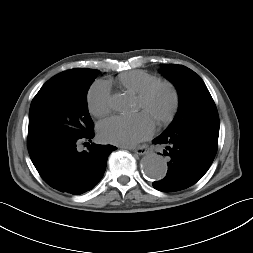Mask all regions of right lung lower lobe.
<instances>
[{
	"mask_svg": "<svg viewBox=\"0 0 253 253\" xmlns=\"http://www.w3.org/2000/svg\"><path fill=\"white\" fill-rule=\"evenodd\" d=\"M94 137L91 130L85 137L62 144L44 156L32 160L42 179L52 188L73 195L91 190L101 180L112 145L92 143L87 151L79 152L77 144Z\"/></svg>",
	"mask_w": 253,
	"mask_h": 253,
	"instance_id": "right-lung-lower-lobe-1",
	"label": "right lung lower lobe"
}]
</instances>
